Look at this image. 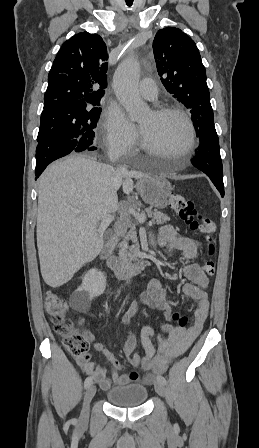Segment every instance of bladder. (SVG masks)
Here are the masks:
<instances>
[{
  "instance_id": "1",
  "label": "bladder",
  "mask_w": 259,
  "mask_h": 448,
  "mask_svg": "<svg viewBox=\"0 0 259 448\" xmlns=\"http://www.w3.org/2000/svg\"><path fill=\"white\" fill-rule=\"evenodd\" d=\"M107 400L118 407H137L142 405L147 397L148 390L140 384L117 386L110 389L106 394Z\"/></svg>"
}]
</instances>
